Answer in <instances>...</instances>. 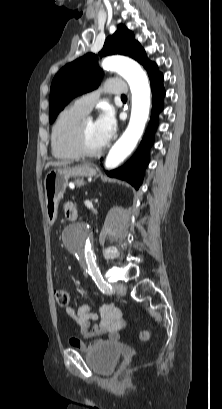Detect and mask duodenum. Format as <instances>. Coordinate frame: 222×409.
<instances>
[{
  "label": "duodenum",
  "mask_w": 222,
  "mask_h": 409,
  "mask_svg": "<svg viewBox=\"0 0 222 409\" xmlns=\"http://www.w3.org/2000/svg\"><path fill=\"white\" fill-rule=\"evenodd\" d=\"M70 220H75L77 218V210H73L68 217Z\"/></svg>",
  "instance_id": "duodenum-1"
}]
</instances>
